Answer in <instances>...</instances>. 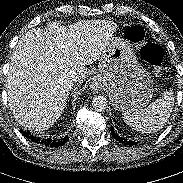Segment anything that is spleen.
I'll return each mask as SVG.
<instances>
[{
	"label": "spleen",
	"instance_id": "1",
	"mask_svg": "<svg viewBox=\"0 0 183 183\" xmlns=\"http://www.w3.org/2000/svg\"><path fill=\"white\" fill-rule=\"evenodd\" d=\"M174 105V92L169 90L146 108L122 113L125 123L141 133L157 132L166 125Z\"/></svg>",
	"mask_w": 183,
	"mask_h": 183
}]
</instances>
